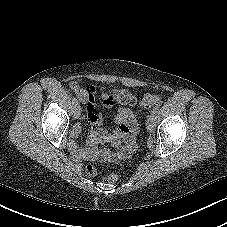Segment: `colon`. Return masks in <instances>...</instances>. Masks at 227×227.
I'll list each match as a JSON object with an SVG mask.
<instances>
[{"instance_id": "1", "label": "colon", "mask_w": 227, "mask_h": 227, "mask_svg": "<svg viewBox=\"0 0 227 227\" xmlns=\"http://www.w3.org/2000/svg\"><path fill=\"white\" fill-rule=\"evenodd\" d=\"M73 89H76L75 84L72 85ZM115 102L119 104H128L131 102V94L125 90H116L111 93ZM160 101V98L154 94H145L139 99V106L142 109H149ZM86 172L89 175L96 174V168L93 165L86 166ZM118 174H110L106 180L110 183H115L118 180Z\"/></svg>"}]
</instances>
